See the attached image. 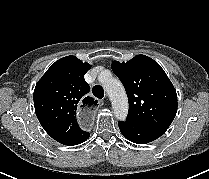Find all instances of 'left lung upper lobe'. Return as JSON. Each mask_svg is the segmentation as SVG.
Returning <instances> with one entry per match:
<instances>
[{
	"mask_svg": "<svg viewBox=\"0 0 209 179\" xmlns=\"http://www.w3.org/2000/svg\"><path fill=\"white\" fill-rule=\"evenodd\" d=\"M111 67L126 89L128 118L166 131L177 112V94L161 66L137 55L127 63L114 61Z\"/></svg>",
	"mask_w": 209,
	"mask_h": 179,
	"instance_id": "obj_1",
	"label": "left lung upper lobe"
}]
</instances>
